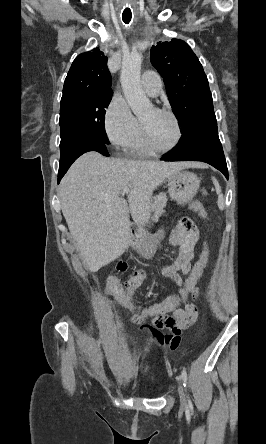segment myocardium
<instances>
[{"mask_svg":"<svg viewBox=\"0 0 266 444\" xmlns=\"http://www.w3.org/2000/svg\"><path fill=\"white\" fill-rule=\"evenodd\" d=\"M154 110L159 114L167 115L172 118V120L175 123V127H176V138H175L174 142L169 147L160 148L152 142V140L149 137V134L147 132L145 125L140 121V129H141V134H142L144 144L150 151H152L154 153L163 154V153L170 152V151L174 150L180 144V142L182 140L183 131H182L180 120L177 117V115L174 112H172L171 110L164 109V108H154Z\"/></svg>","mask_w":266,"mask_h":444,"instance_id":"f54148a6","label":"myocardium"}]
</instances>
